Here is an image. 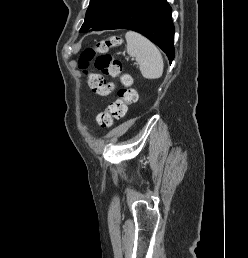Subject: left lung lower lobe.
<instances>
[{"instance_id": "0a47b994", "label": "left lung lower lobe", "mask_w": 248, "mask_h": 258, "mask_svg": "<svg viewBox=\"0 0 248 258\" xmlns=\"http://www.w3.org/2000/svg\"><path fill=\"white\" fill-rule=\"evenodd\" d=\"M171 7L166 0H128L112 17L91 31L130 29L143 34L174 59V25Z\"/></svg>"}]
</instances>
